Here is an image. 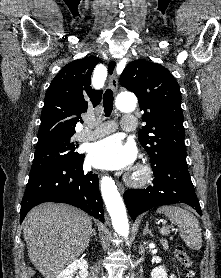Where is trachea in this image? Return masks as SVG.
Listing matches in <instances>:
<instances>
[{
  "label": "trachea",
  "instance_id": "3493384b",
  "mask_svg": "<svg viewBox=\"0 0 221 278\" xmlns=\"http://www.w3.org/2000/svg\"><path fill=\"white\" fill-rule=\"evenodd\" d=\"M114 96L111 89H107L103 95V107L105 116L109 117L113 110Z\"/></svg>",
  "mask_w": 221,
  "mask_h": 278
}]
</instances>
